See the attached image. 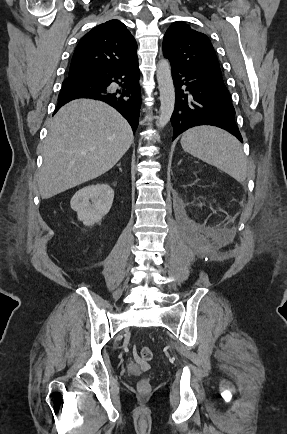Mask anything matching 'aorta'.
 <instances>
[{"instance_id": "1", "label": "aorta", "mask_w": 287, "mask_h": 434, "mask_svg": "<svg viewBox=\"0 0 287 434\" xmlns=\"http://www.w3.org/2000/svg\"><path fill=\"white\" fill-rule=\"evenodd\" d=\"M156 77L161 103L157 126L162 129L170 121L175 106V88L171 75V66L167 59H161L158 62Z\"/></svg>"}]
</instances>
